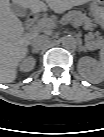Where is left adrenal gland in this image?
<instances>
[{"label":"left adrenal gland","mask_w":104,"mask_h":137,"mask_svg":"<svg viewBox=\"0 0 104 137\" xmlns=\"http://www.w3.org/2000/svg\"><path fill=\"white\" fill-rule=\"evenodd\" d=\"M79 51H84L86 52V48L84 46H79Z\"/></svg>","instance_id":"obj_1"}]
</instances>
